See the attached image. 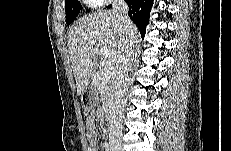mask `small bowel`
Wrapping results in <instances>:
<instances>
[{"label": "small bowel", "mask_w": 231, "mask_h": 151, "mask_svg": "<svg viewBox=\"0 0 231 151\" xmlns=\"http://www.w3.org/2000/svg\"><path fill=\"white\" fill-rule=\"evenodd\" d=\"M96 116L92 115L86 120L87 140L91 151H98L97 143L99 133L96 128Z\"/></svg>", "instance_id": "small-bowel-1"}]
</instances>
